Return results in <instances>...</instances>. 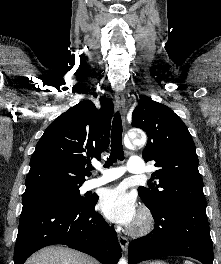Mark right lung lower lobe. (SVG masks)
<instances>
[{
  "label": "right lung lower lobe",
  "instance_id": "1",
  "mask_svg": "<svg viewBox=\"0 0 221 264\" xmlns=\"http://www.w3.org/2000/svg\"><path fill=\"white\" fill-rule=\"evenodd\" d=\"M93 196L82 205L52 202L23 204L14 251V264H23L37 250L55 244L87 253L102 264H117L121 256L115 230L94 211Z\"/></svg>",
  "mask_w": 221,
  "mask_h": 264
}]
</instances>
